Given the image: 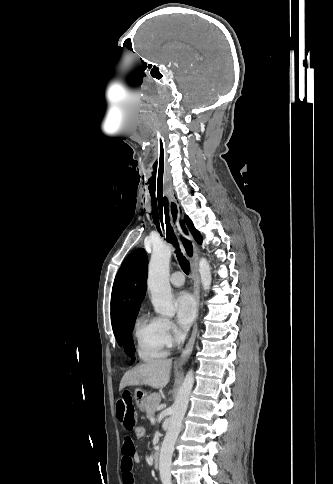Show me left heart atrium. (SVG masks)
<instances>
[{
  "label": "left heart atrium",
  "instance_id": "left-heart-atrium-1",
  "mask_svg": "<svg viewBox=\"0 0 333 484\" xmlns=\"http://www.w3.org/2000/svg\"><path fill=\"white\" fill-rule=\"evenodd\" d=\"M174 304L178 324L182 328H187L195 317L197 309L196 301L190 293L181 291L176 294Z\"/></svg>",
  "mask_w": 333,
  "mask_h": 484
}]
</instances>
